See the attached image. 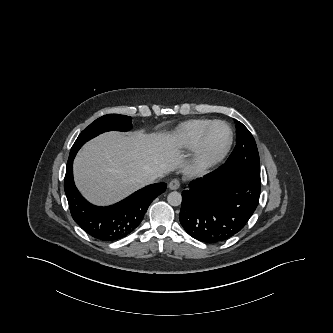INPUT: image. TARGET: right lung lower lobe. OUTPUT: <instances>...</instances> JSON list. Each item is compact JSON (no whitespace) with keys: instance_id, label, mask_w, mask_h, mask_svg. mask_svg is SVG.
Wrapping results in <instances>:
<instances>
[{"instance_id":"98d812e1","label":"right lung lower lobe","mask_w":333,"mask_h":333,"mask_svg":"<svg viewBox=\"0 0 333 333\" xmlns=\"http://www.w3.org/2000/svg\"><path fill=\"white\" fill-rule=\"evenodd\" d=\"M67 162L64 189L74 221L90 236L101 241H116L135 230L155 196L165 192L166 183L146 186L124 200L108 207H98L85 200L73 180V160Z\"/></svg>"}]
</instances>
